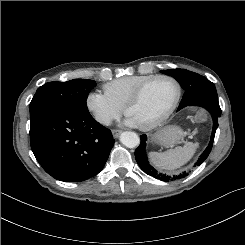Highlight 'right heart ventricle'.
<instances>
[{
  "label": "right heart ventricle",
  "instance_id": "obj_1",
  "mask_svg": "<svg viewBox=\"0 0 245 245\" xmlns=\"http://www.w3.org/2000/svg\"><path fill=\"white\" fill-rule=\"evenodd\" d=\"M152 75H130L123 76L104 84L105 94L117 105L124 107L128 98L136 90V88L151 78Z\"/></svg>",
  "mask_w": 245,
  "mask_h": 245
}]
</instances>
